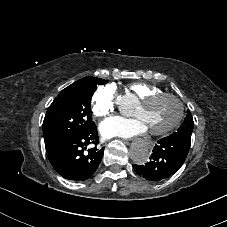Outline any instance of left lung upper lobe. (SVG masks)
Listing matches in <instances>:
<instances>
[{
	"label": "left lung upper lobe",
	"mask_w": 227,
	"mask_h": 227,
	"mask_svg": "<svg viewBox=\"0 0 227 227\" xmlns=\"http://www.w3.org/2000/svg\"><path fill=\"white\" fill-rule=\"evenodd\" d=\"M193 127H194L193 118L190 111L188 110L182 125L176 132H174L170 136L191 139Z\"/></svg>",
	"instance_id": "5c2ea615"
}]
</instances>
